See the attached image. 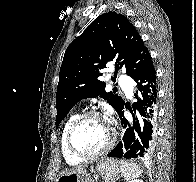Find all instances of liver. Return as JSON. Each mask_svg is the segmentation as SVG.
Returning a JSON list of instances; mask_svg holds the SVG:
<instances>
[{
	"label": "liver",
	"mask_w": 196,
	"mask_h": 182,
	"mask_svg": "<svg viewBox=\"0 0 196 182\" xmlns=\"http://www.w3.org/2000/svg\"><path fill=\"white\" fill-rule=\"evenodd\" d=\"M81 171H84V167H76V168L71 169L68 172L74 173V172H81Z\"/></svg>",
	"instance_id": "liver-1"
}]
</instances>
